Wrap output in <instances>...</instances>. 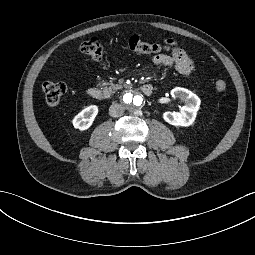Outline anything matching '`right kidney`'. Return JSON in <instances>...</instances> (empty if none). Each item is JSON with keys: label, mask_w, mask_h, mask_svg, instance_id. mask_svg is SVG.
<instances>
[{"label": "right kidney", "mask_w": 255, "mask_h": 255, "mask_svg": "<svg viewBox=\"0 0 255 255\" xmlns=\"http://www.w3.org/2000/svg\"><path fill=\"white\" fill-rule=\"evenodd\" d=\"M97 113H98V107L95 105H91L85 108L78 115L74 117L73 119L74 127L79 130L88 129L92 125Z\"/></svg>", "instance_id": "obj_1"}]
</instances>
